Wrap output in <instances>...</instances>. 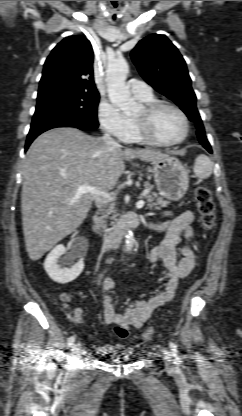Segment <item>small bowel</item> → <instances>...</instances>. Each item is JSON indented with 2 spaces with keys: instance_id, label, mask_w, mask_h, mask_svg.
<instances>
[{
  "instance_id": "c3829d8e",
  "label": "small bowel",
  "mask_w": 242,
  "mask_h": 416,
  "mask_svg": "<svg viewBox=\"0 0 242 416\" xmlns=\"http://www.w3.org/2000/svg\"><path fill=\"white\" fill-rule=\"evenodd\" d=\"M168 217L161 223H149L147 227L153 232H163L165 234L162 242L155 246L150 254L149 261L153 267L162 271L166 284L163 291L151 296L147 300H134L130 302L122 313L115 310L113 298L110 293L115 287V282L107 278L103 281L102 306L104 320L108 325H122L127 329L141 328L148 322L153 312L160 306L171 303L178 292L180 281L188 276L195 266V256L192 249V222L194 214L191 211L184 212L179 216L166 214ZM183 233L185 245L181 250L182 256L179 258L176 245L180 234ZM83 310L75 308L70 317L72 322H81ZM95 351L100 355H108L113 352L116 345L108 343L106 345H96Z\"/></svg>"
}]
</instances>
